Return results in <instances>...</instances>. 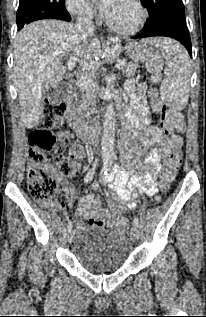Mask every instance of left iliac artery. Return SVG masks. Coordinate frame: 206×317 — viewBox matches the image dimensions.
Listing matches in <instances>:
<instances>
[{
    "mask_svg": "<svg viewBox=\"0 0 206 317\" xmlns=\"http://www.w3.org/2000/svg\"><path fill=\"white\" fill-rule=\"evenodd\" d=\"M133 224L135 227H139V219L137 217H134Z\"/></svg>",
    "mask_w": 206,
    "mask_h": 317,
    "instance_id": "1",
    "label": "left iliac artery"
}]
</instances>
